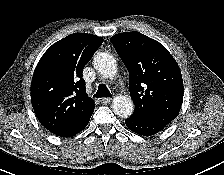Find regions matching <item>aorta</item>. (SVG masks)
Segmentation results:
<instances>
[{
  "mask_svg": "<svg viewBox=\"0 0 224 175\" xmlns=\"http://www.w3.org/2000/svg\"><path fill=\"white\" fill-rule=\"evenodd\" d=\"M94 65L98 72L105 78H114L117 74V64L115 58L106 52L98 53L94 58ZM112 108L114 113L121 118H128L132 115L134 104L126 96L118 95L113 98Z\"/></svg>",
  "mask_w": 224,
  "mask_h": 175,
  "instance_id": "1",
  "label": "aorta"
}]
</instances>
